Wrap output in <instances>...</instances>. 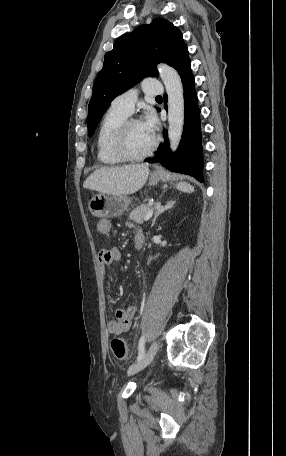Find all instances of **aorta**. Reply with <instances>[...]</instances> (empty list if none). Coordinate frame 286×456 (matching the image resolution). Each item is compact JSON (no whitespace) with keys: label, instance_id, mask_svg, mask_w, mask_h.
I'll return each instance as SVG.
<instances>
[{"label":"aorta","instance_id":"1","mask_svg":"<svg viewBox=\"0 0 286 456\" xmlns=\"http://www.w3.org/2000/svg\"><path fill=\"white\" fill-rule=\"evenodd\" d=\"M160 77L168 95V135L175 151L180 143L184 125V90L178 72L167 64H159Z\"/></svg>","mask_w":286,"mask_h":456}]
</instances>
